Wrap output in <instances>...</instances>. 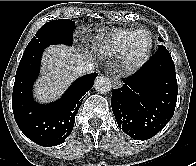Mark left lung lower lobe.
Returning a JSON list of instances; mask_svg holds the SVG:
<instances>
[{
	"label": "left lung lower lobe",
	"mask_w": 196,
	"mask_h": 166,
	"mask_svg": "<svg viewBox=\"0 0 196 166\" xmlns=\"http://www.w3.org/2000/svg\"><path fill=\"white\" fill-rule=\"evenodd\" d=\"M123 82L111 98L118 126L134 139H149L165 127L176 106L177 79L169 51L159 47L139 71Z\"/></svg>",
	"instance_id": "1"
}]
</instances>
